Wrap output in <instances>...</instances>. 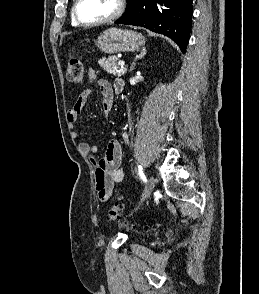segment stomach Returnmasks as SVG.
Returning <instances> with one entry per match:
<instances>
[{
  "label": "stomach",
  "instance_id": "1",
  "mask_svg": "<svg viewBox=\"0 0 259 294\" xmlns=\"http://www.w3.org/2000/svg\"><path fill=\"white\" fill-rule=\"evenodd\" d=\"M95 44L107 54L134 52L144 46L145 38L131 30L109 28L98 36Z\"/></svg>",
  "mask_w": 259,
  "mask_h": 294
}]
</instances>
